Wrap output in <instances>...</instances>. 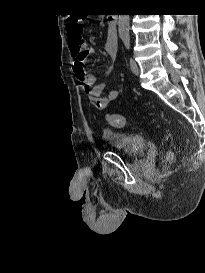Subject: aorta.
Here are the masks:
<instances>
[{
    "instance_id": "762f6f07",
    "label": "aorta",
    "mask_w": 205,
    "mask_h": 273,
    "mask_svg": "<svg viewBox=\"0 0 205 273\" xmlns=\"http://www.w3.org/2000/svg\"><path fill=\"white\" fill-rule=\"evenodd\" d=\"M129 15H119L118 18V31L119 37L123 42H129Z\"/></svg>"
}]
</instances>
